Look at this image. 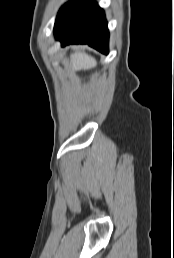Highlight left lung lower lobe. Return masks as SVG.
I'll list each match as a JSON object with an SVG mask.
<instances>
[{
  "label": "left lung lower lobe",
  "mask_w": 174,
  "mask_h": 258,
  "mask_svg": "<svg viewBox=\"0 0 174 258\" xmlns=\"http://www.w3.org/2000/svg\"><path fill=\"white\" fill-rule=\"evenodd\" d=\"M54 34L62 46L88 44L108 54L109 32L103 10L93 0H72L59 11Z\"/></svg>",
  "instance_id": "obj_1"
}]
</instances>
